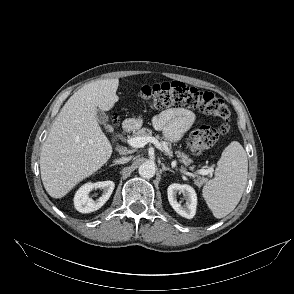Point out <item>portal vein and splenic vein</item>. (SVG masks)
<instances>
[{
    "label": "portal vein and splenic vein",
    "mask_w": 294,
    "mask_h": 294,
    "mask_svg": "<svg viewBox=\"0 0 294 294\" xmlns=\"http://www.w3.org/2000/svg\"><path fill=\"white\" fill-rule=\"evenodd\" d=\"M149 142L153 143L157 149L163 150L162 144L155 137H151V136H148V137H128V139H127V143L131 147H134V148L144 147ZM179 171L182 174L189 175V173L184 169H179ZM198 173L201 175H206L208 173V171L201 169L198 171Z\"/></svg>",
    "instance_id": "1"
}]
</instances>
